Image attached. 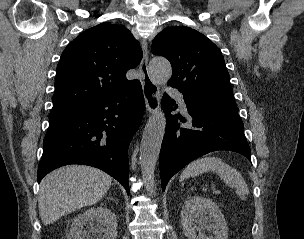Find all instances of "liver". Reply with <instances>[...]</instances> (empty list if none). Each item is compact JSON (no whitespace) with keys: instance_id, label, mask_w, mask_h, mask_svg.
Segmentation results:
<instances>
[{"instance_id":"1","label":"liver","mask_w":304,"mask_h":239,"mask_svg":"<svg viewBox=\"0 0 304 239\" xmlns=\"http://www.w3.org/2000/svg\"><path fill=\"white\" fill-rule=\"evenodd\" d=\"M112 178L83 165H69L46 175L40 183L39 214L45 225L83 206L97 203L109 190Z\"/></svg>"}]
</instances>
